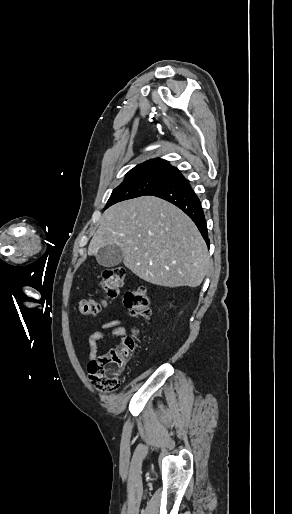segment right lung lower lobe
Segmentation results:
<instances>
[{"label": "right lung lower lobe", "mask_w": 292, "mask_h": 514, "mask_svg": "<svg viewBox=\"0 0 292 514\" xmlns=\"http://www.w3.org/2000/svg\"><path fill=\"white\" fill-rule=\"evenodd\" d=\"M143 196H156L180 208L196 224L202 237L209 245L206 220L200 200L181 172L170 175L167 179L149 189Z\"/></svg>", "instance_id": "1"}]
</instances>
